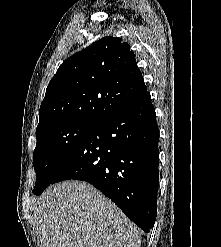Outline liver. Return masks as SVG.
Returning <instances> with one entry per match:
<instances>
[{"label": "liver", "instance_id": "obj_1", "mask_svg": "<svg viewBox=\"0 0 221 247\" xmlns=\"http://www.w3.org/2000/svg\"><path fill=\"white\" fill-rule=\"evenodd\" d=\"M39 247H140L137 227L88 183L63 181L36 202Z\"/></svg>", "mask_w": 221, "mask_h": 247}]
</instances>
